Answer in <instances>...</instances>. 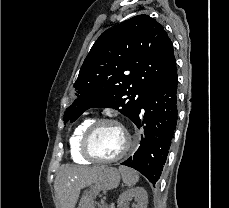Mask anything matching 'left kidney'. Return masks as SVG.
<instances>
[{
    "instance_id": "5707ae66",
    "label": "left kidney",
    "mask_w": 229,
    "mask_h": 208,
    "mask_svg": "<svg viewBox=\"0 0 229 208\" xmlns=\"http://www.w3.org/2000/svg\"><path fill=\"white\" fill-rule=\"evenodd\" d=\"M130 200L137 202L136 208H147L148 196L146 190L144 188H132V190L121 194L118 204L123 208L125 202H130Z\"/></svg>"
}]
</instances>
